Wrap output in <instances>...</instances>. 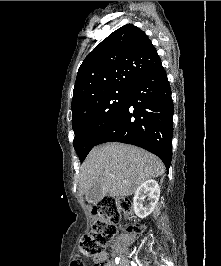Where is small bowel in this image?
<instances>
[{"label": "small bowel", "mask_w": 221, "mask_h": 266, "mask_svg": "<svg viewBox=\"0 0 221 266\" xmlns=\"http://www.w3.org/2000/svg\"><path fill=\"white\" fill-rule=\"evenodd\" d=\"M73 257L76 258H71L70 259V266H84L83 259L82 258H78V257H82V252H73ZM107 259V254L105 252H102L99 256L94 258L95 262L101 261V262H106ZM105 266H113V263L108 261L105 263Z\"/></svg>", "instance_id": "obj_1"}]
</instances>
